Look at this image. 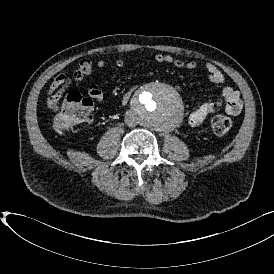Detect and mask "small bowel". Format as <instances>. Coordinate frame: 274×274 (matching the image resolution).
Instances as JSON below:
<instances>
[{"instance_id":"c3829d8e","label":"small bowel","mask_w":274,"mask_h":274,"mask_svg":"<svg viewBox=\"0 0 274 274\" xmlns=\"http://www.w3.org/2000/svg\"><path fill=\"white\" fill-rule=\"evenodd\" d=\"M154 61L159 64H170L177 68L194 70L197 69L198 63L195 61H183L176 59L170 55L158 53L154 56ZM115 66L121 69L125 66V61L123 59H117L115 61ZM106 67L105 60H97L95 63L90 59H83L80 61L77 68L74 70L73 77L69 78L65 75H58L49 87V91L45 90L42 96L45 102L48 103L49 109L52 112L57 111L58 106L55 98L60 99L63 96V92L71 85H80L83 83L86 77L93 74L94 69H103ZM204 69L208 74L209 80L214 84H223L225 82V75L223 72L213 63L206 62L204 64ZM137 86L130 87L122 97V104L126 105L130 100L132 94L136 90ZM88 98L85 99L86 103L92 105L95 101L97 103L104 99V93L99 88L93 86H87L85 88ZM55 98H53V96ZM243 109V102L240 97V93L230 86H226L222 89V100H210L202 105H200L196 110H194L188 117V125L191 128H199L203 125L206 119L219 111H224L229 115H237Z\"/></svg>"}]
</instances>
